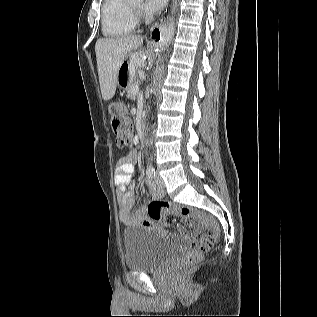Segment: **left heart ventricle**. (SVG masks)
Here are the masks:
<instances>
[{
    "label": "left heart ventricle",
    "mask_w": 317,
    "mask_h": 317,
    "mask_svg": "<svg viewBox=\"0 0 317 317\" xmlns=\"http://www.w3.org/2000/svg\"><path fill=\"white\" fill-rule=\"evenodd\" d=\"M132 5L136 7H142V0H135Z\"/></svg>",
    "instance_id": "1"
}]
</instances>
